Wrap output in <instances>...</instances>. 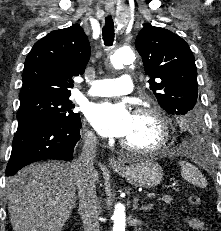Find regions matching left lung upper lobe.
I'll return each instance as SVG.
<instances>
[{
  "label": "left lung upper lobe",
  "instance_id": "1",
  "mask_svg": "<svg viewBox=\"0 0 221 231\" xmlns=\"http://www.w3.org/2000/svg\"><path fill=\"white\" fill-rule=\"evenodd\" d=\"M135 46L160 106L173 115L191 116L197 109V70L188 44L173 32L146 25Z\"/></svg>",
  "mask_w": 221,
  "mask_h": 231
}]
</instances>
